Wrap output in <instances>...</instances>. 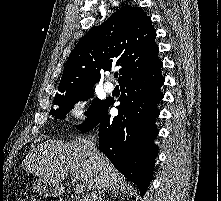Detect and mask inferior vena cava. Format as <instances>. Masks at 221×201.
Masks as SVG:
<instances>
[{
	"instance_id": "1",
	"label": "inferior vena cava",
	"mask_w": 221,
	"mask_h": 201,
	"mask_svg": "<svg viewBox=\"0 0 221 201\" xmlns=\"http://www.w3.org/2000/svg\"><path fill=\"white\" fill-rule=\"evenodd\" d=\"M91 148H92L93 152H95L96 149L93 144L91 145ZM97 190L98 189L93 187L91 196L89 197V201H97Z\"/></svg>"
}]
</instances>
